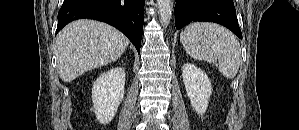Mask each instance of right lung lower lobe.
Listing matches in <instances>:
<instances>
[{"label": "right lung lower lobe", "instance_id": "right-lung-lower-lobe-1", "mask_svg": "<svg viewBox=\"0 0 299 130\" xmlns=\"http://www.w3.org/2000/svg\"><path fill=\"white\" fill-rule=\"evenodd\" d=\"M144 4L145 0H64L56 33L77 19L99 20L123 32L140 54Z\"/></svg>", "mask_w": 299, "mask_h": 130}]
</instances>
